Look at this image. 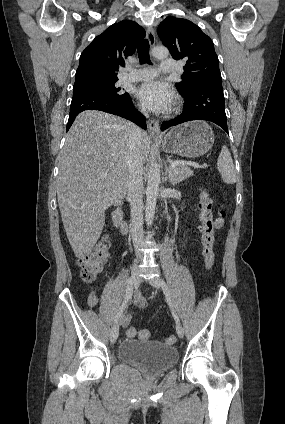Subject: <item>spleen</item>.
Returning a JSON list of instances; mask_svg holds the SVG:
<instances>
[{"label":"spleen","instance_id":"spleen-1","mask_svg":"<svg viewBox=\"0 0 285 424\" xmlns=\"http://www.w3.org/2000/svg\"><path fill=\"white\" fill-rule=\"evenodd\" d=\"M217 169L221 174L223 182L234 184L236 182V170L229 149L223 146L217 159Z\"/></svg>","mask_w":285,"mask_h":424}]
</instances>
